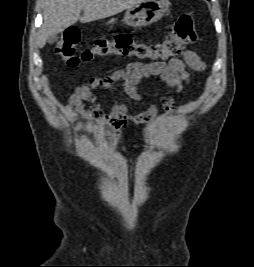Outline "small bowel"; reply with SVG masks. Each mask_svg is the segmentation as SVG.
Listing matches in <instances>:
<instances>
[{
    "label": "small bowel",
    "mask_w": 254,
    "mask_h": 267,
    "mask_svg": "<svg viewBox=\"0 0 254 267\" xmlns=\"http://www.w3.org/2000/svg\"><path fill=\"white\" fill-rule=\"evenodd\" d=\"M186 67L202 72L206 65L193 51L186 50L181 58H173L167 63H141L132 62L125 68L113 72L104 78H93L87 83L75 88L66 105L67 111L73 120H82L100 131H106V137H98L97 144L100 148L114 151L122 140L121 128L125 125L135 127L153 119L158 114L156 104L138 114L128 112L124 102L116 101L111 113H105L96 98V91L102 89L113 97L116 96V82L121 80L123 92L131 100L139 101L142 98L140 86L142 81L149 77H158L168 87L181 91L189 83L190 74ZM84 102H89L91 111H84ZM161 108L166 114L175 109L174 99L170 94H163L160 98ZM125 151V147H120Z\"/></svg>",
    "instance_id": "c3829d8e"
}]
</instances>
